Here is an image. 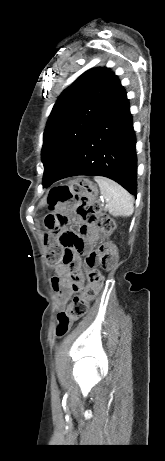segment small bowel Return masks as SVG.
<instances>
[{
  "label": "small bowel",
  "mask_w": 165,
  "mask_h": 461,
  "mask_svg": "<svg viewBox=\"0 0 165 461\" xmlns=\"http://www.w3.org/2000/svg\"><path fill=\"white\" fill-rule=\"evenodd\" d=\"M76 223L80 222L76 220ZM56 239L57 249L72 250L60 252V263L55 266V276L51 280L52 287L58 294L57 302L63 305L74 292L83 288L84 276L78 259L79 253L92 248L99 239V232L96 225H73V229H58Z\"/></svg>",
  "instance_id": "c3829d8e"
}]
</instances>
